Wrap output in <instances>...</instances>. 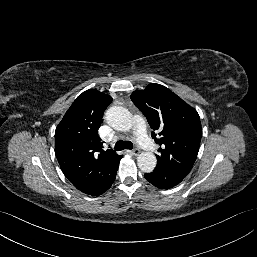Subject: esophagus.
I'll list each match as a JSON object with an SVG mask.
<instances>
[{
    "label": "esophagus",
    "mask_w": 257,
    "mask_h": 257,
    "mask_svg": "<svg viewBox=\"0 0 257 257\" xmlns=\"http://www.w3.org/2000/svg\"><path fill=\"white\" fill-rule=\"evenodd\" d=\"M139 153H140V149H139V148H135V149H133V150L131 151V154L134 155V156L139 155Z\"/></svg>",
    "instance_id": "34e87169"
}]
</instances>
